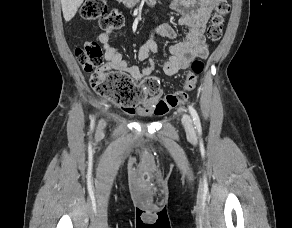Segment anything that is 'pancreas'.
<instances>
[{
    "mask_svg": "<svg viewBox=\"0 0 292 228\" xmlns=\"http://www.w3.org/2000/svg\"><path fill=\"white\" fill-rule=\"evenodd\" d=\"M121 1H123L125 3H133L135 0H121Z\"/></svg>",
    "mask_w": 292,
    "mask_h": 228,
    "instance_id": "obj_1",
    "label": "pancreas"
}]
</instances>
